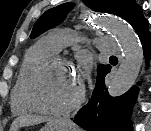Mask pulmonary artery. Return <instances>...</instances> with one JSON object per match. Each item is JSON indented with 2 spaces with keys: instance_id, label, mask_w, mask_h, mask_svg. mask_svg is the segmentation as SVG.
Masks as SVG:
<instances>
[{
  "instance_id": "1",
  "label": "pulmonary artery",
  "mask_w": 151,
  "mask_h": 131,
  "mask_svg": "<svg viewBox=\"0 0 151 131\" xmlns=\"http://www.w3.org/2000/svg\"><path fill=\"white\" fill-rule=\"evenodd\" d=\"M78 38H79L78 35L72 31L64 29H55L49 32L45 39L51 45V47L56 52H58L64 47L76 42ZM96 44L99 49L105 52L108 53L116 52L115 42L110 37L107 36L100 37L96 40Z\"/></svg>"
}]
</instances>
